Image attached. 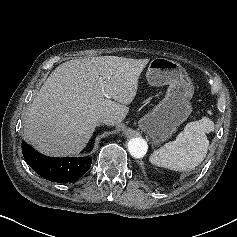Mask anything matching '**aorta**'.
I'll use <instances>...</instances> for the list:
<instances>
[{"instance_id":"aorta-1","label":"aorta","mask_w":237,"mask_h":237,"mask_svg":"<svg viewBox=\"0 0 237 237\" xmlns=\"http://www.w3.org/2000/svg\"><path fill=\"white\" fill-rule=\"evenodd\" d=\"M127 146L129 153L135 158H142L148 149L147 142L140 137L130 139Z\"/></svg>"}]
</instances>
